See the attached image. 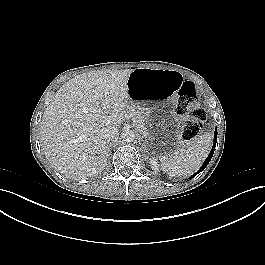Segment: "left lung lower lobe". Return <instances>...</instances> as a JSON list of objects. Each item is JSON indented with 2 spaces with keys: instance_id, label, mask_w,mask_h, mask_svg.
<instances>
[{
  "instance_id": "obj_1",
  "label": "left lung lower lobe",
  "mask_w": 265,
  "mask_h": 265,
  "mask_svg": "<svg viewBox=\"0 0 265 265\" xmlns=\"http://www.w3.org/2000/svg\"><path fill=\"white\" fill-rule=\"evenodd\" d=\"M216 142H217V130H215L213 147H212L208 157L204 161L202 167L195 174H193L192 177L196 176L198 173H200L202 170H204L205 167L208 165V163L210 162V160H211V158L213 156V153H214V150H215V147H216Z\"/></svg>"
}]
</instances>
